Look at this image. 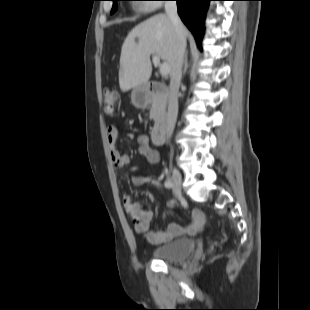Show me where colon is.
Wrapping results in <instances>:
<instances>
[{
    "instance_id": "colon-1",
    "label": "colon",
    "mask_w": 310,
    "mask_h": 310,
    "mask_svg": "<svg viewBox=\"0 0 310 310\" xmlns=\"http://www.w3.org/2000/svg\"><path fill=\"white\" fill-rule=\"evenodd\" d=\"M102 105L107 112H112L118 103V95L113 89H106L102 96Z\"/></svg>"
}]
</instances>
